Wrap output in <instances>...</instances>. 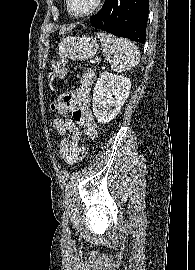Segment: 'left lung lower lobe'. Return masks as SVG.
<instances>
[{
    "label": "left lung lower lobe",
    "instance_id": "obj_1",
    "mask_svg": "<svg viewBox=\"0 0 195 270\" xmlns=\"http://www.w3.org/2000/svg\"><path fill=\"white\" fill-rule=\"evenodd\" d=\"M148 12L149 0H105L90 23L116 36L144 43Z\"/></svg>",
    "mask_w": 195,
    "mask_h": 270
}]
</instances>
